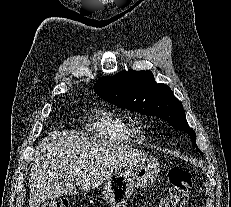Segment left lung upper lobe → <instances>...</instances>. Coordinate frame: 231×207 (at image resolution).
<instances>
[{
  "instance_id": "obj_1",
  "label": "left lung upper lobe",
  "mask_w": 231,
  "mask_h": 207,
  "mask_svg": "<svg viewBox=\"0 0 231 207\" xmlns=\"http://www.w3.org/2000/svg\"><path fill=\"white\" fill-rule=\"evenodd\" d=\"M94 91L118 107L167 121L175 129L189 134L196 146L195 132L188 126L182 103L167 85L154 81L151 71L124 70L104 76L96 81ZM196 149L200 152L197 146Z\"/></svg>"
}]
</instances>
